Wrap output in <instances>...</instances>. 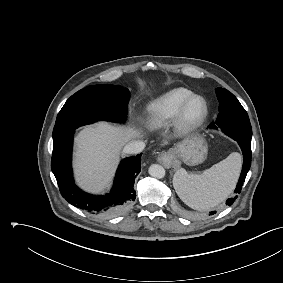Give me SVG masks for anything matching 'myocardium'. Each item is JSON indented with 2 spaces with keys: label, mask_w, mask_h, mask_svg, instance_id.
<instances>
[{
  "label": "myocardium",
  "mask_w": 283,
  "mask_h": 283,
  "mask_svg": "<svg viewBox=\"0 0 283 283\" xmlns=\"http://www.w3.org/2000/svg\"><path fill=\"white\" fill-rule=\"evenodd\" d=\"M193 101H198L200 110L196 116H189L188 108ZM208 114V104L206 99L199 94L191 93L181 103L174 118V128L178 136H186L196 130L205 120Z\"/></svg>",
  "instance_id": "f54148a6"
}]
</instances>
